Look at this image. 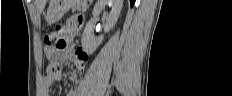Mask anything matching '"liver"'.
I'll list each match as a JSON object with an SVG mask.
<instances>
[{
  "instance_id": "liver-1",
  "label": "liver",
  "mask_w": 232,
  "mask_h": 96,
  "mask_svg": "<svg viewBox=\"0 0 232 96\" xmlns=\"http://www.w3.org/2000/svg\"><path fill=\"white\" fill-rule=\"evenodd\" d=\"M45 4H46V0H40L39 2V10L40 12L43 11L44 7H45Z\"/></svg>"
}]
</instances>
